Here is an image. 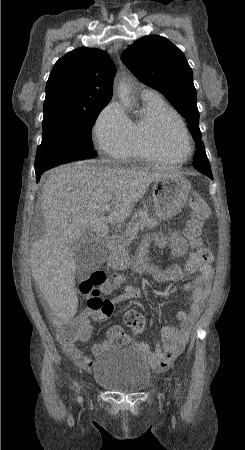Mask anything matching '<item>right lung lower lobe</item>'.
<instances>
[{
    "mask_svg": "<svg viewBox=\"0 0 245 450\" xmlns=\"http://www.w3.org/2000/svg\"><path fill=\"white\" fill-rule=\"evenodd\" d=\"M44 171H45V170H44ZM44 171H35V172H36V180H37V182L39 181L40 176H41V174H42Z\"/></svg>",
    "mask_w": 245,
    "mask_h": 450,
    "instance_id": "1",
    "label": "right lung lower lobe"
}]
</instances>
